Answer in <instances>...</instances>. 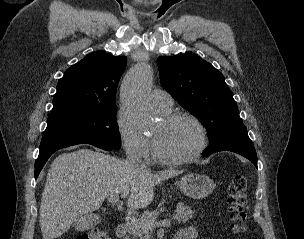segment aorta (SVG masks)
I'll use <instances>...</instances> for the list:
<instances>
[{"label": "aorta", "mask_w": 304, "mask_h": 239, "mask_svg": "<svg viewBox=\"0 0 304 239\" xmlns=\"http://www.w3.org/2000/svg\"><path fill=\"white\" fill-rule=\"evenodd\" d=\"M152 86V72L146 62L138 64L123 80L121 103L128 109L134 120L146 126L151 120L148 91Z\"/></svg>", "instance_id": "obj_1"}]
</instances>
